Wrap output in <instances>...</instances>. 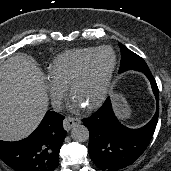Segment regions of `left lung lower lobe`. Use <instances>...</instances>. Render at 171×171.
Returning <instances> with one entry per match:
<instances>
[{
  "label": "left lung lower lobe",
  "mask_w": 171,
  "mask_h": 171,
  "mask_svg": "<svg viewBox=\"0 0 171 171\" xmlns=\"http://www.w3.org/2000/svg\"><path fill=\"white\" fill-rule=\"evenodd\" d=\"M147 78L156 97L157 108L153 118L139 129L123 126L112 110L110 98L92 116L83 119L89 129V154L94 164L107 171H115L132 164L150 142L159 115V91L151 73Z\"/></svg>",
  "instance_id": "obj_1"
}]
</instances>
